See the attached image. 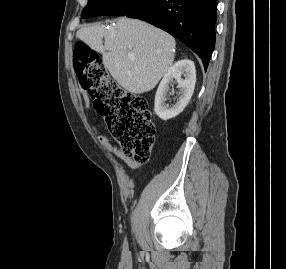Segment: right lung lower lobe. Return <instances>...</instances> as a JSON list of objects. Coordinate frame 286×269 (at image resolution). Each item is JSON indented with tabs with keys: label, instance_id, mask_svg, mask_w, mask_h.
Wrapping results in <instances>:
<instances>
[{
	"label": "right lung lower lobe",
	"instance_id": "1",
	"mask_svg": "<svg viewBox=\"0 0 286 269\" xmlns=\"http://www.w3.org/2000/svg\"><path fill=\"white\" fill-rule=\"evenodd\" d=\"M217 0H151L126 15L163 29L185 43L208 67L215 46Z\"/></svg>",
	"mask_w": 286,
	"mask_h": 269
}]
</instances>
